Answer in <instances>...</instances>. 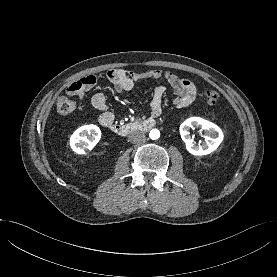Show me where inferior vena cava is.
<instances>
[{
    "label": "inferior vena cava",
    "mask_w": 277,
    "mask_h": 277,
    "mask_svg": "<svg viewBox=\"0 0 277 277\" xmlns=\"http://www.w3.org/2000/svg\"><path fill=\"white\" fill-rule=\"evenodd\" d=\"M128 139L132 143H139L145 139V135L142 132L134 131L129 134Z\"/></svg>",
    "instance_id": "602c4592"
}]
</instances>
